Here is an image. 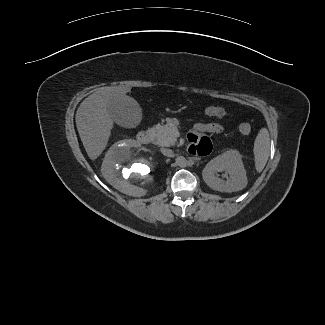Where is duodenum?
<instances>
[{
  "mask_svg": "<svg viewBox=\"0 0 325 325\" xmlns=\"http://www.w3.org/2000/svg\"><path fill=\"white\" fill-rule=\"evenodd\" d=\"M153 140V133L151 131H141L137 135V141L140 144H149Z\"/></svg>",
  "mask_w": 325,
  "mask_h": 325,
  "instance_id": "duodenum-1",
  "label": "duodenum"
}]
</instances>
